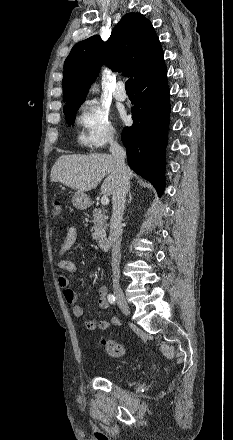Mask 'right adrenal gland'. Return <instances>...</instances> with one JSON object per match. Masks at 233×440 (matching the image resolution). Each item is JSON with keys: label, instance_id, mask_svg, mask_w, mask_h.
Segmentation results:
<instances>
[{"label": "right adrenal gland", "instance_id": "2a0ac1e0", "mask_svg": "<svg viewBox=\"0 0 233 440\" xmlns=\"http://www.w3.org/2000/svg\"><path fill=\"white\" fill-rule=\"evenodd\" d=\"M128 197H129L128 204H130L131 201H132V194H131V191H129Z\"/></svg>", "mask_w": 233, "mask_h": 440}]
</instances>
